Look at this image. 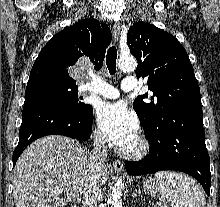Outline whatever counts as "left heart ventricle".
Masks as SVG:
<instances>
[{
	"label": "left heart ventricle",
	"instance_id": "left-heart-ventricle-1",
	"mask_svg": "<svg viewBox=\"0 0 220 207\" xmlns=\"http://www.w3.org/2000/svg\"><path fill=\"white\" fill-rule=\"evenodd\" d=\"M137 138L135 140H133L131 143H129L128 145H126L125 147H123L124 150H133L137 147Z\"/></svg>",
	"mask_w": 220,
	"mask_h": 207
}]
</instances>
